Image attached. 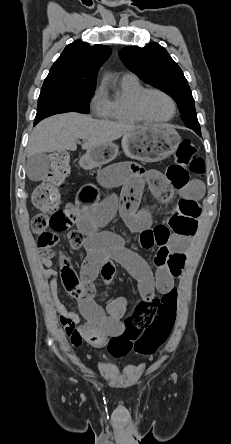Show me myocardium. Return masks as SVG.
Returning a JSON list of instances; mask_svg holds the SVG:
<instances>
[{
  "label": "myocardium",
  "mask_w": 231,
  "mask_h": 444,
  "mask_svg": "<svg viewBox=\"0 0 231 444\" xmlns=\"http://www.w3.org/2000/svg\"><path fill=\"white\" fill-rule=\"evenodd\" d=\"M151 93L161 94L170 101V103L172 105V114L168 118L153 119L145 113V111L143 109V102H144V99L146 98V96ZM132 108H133L135 115L141 120V122L143 121V122L151 123V124L167 123V122L171 121L177 113V104H176L174 98L170 94H168L167 92H165L164 90H161L159 88H146V89L144 88L134 98Z\"/></svg>",
  "instance_id": "1"
}]
</instances>
